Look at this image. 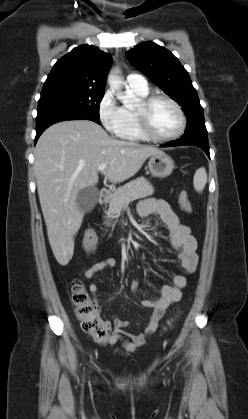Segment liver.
<instances>
[{"instance_id":"liver-1","label":"liver","mask_w":248,"mask_h":419,"mask_svg":"<svg viewBox=\"0 0 248 419\" xmlns=\"http://www.w3.org/2000/svg\"><path fill=\"white\" fill-rule=\"evenodd\" d=\"M158 148L112 138L90 120L50 126L34 151L37 190L53 254L62 266L72 259L74 237L83 221L76 199L81 189L98 183V167L112 183L134 176Z\"/></svg>"}]
</instances>
